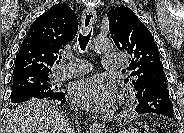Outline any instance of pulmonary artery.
<instances>
[{"mask_svg": "<svg viewBox=\"0 0 184 133\" xmlns=\"http://www.w3.org/2000/svg\"><path fill=\"white\" fill-rule=\"evenodd\" d=\"M71 60L69 65L66 67L58 68L54 74L53 78L55 80H64L67 78L83 75L90 71V64L82 59L74 58L69 56ZM125 61V57L120 54H108L103 58L102 68L104 70H118L120 69Z\"/></svg>", "mask_w": 184, "mask_h": 133, "instance_id": "1", "label": "pulmonary artery"}]
</instances>
